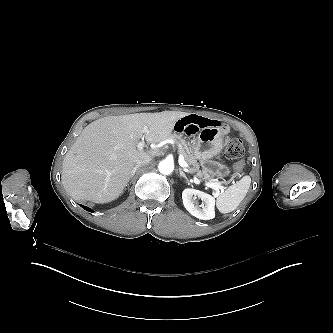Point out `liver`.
Here are the masks:
<instances>
[{
  "instance_id": "6515ba94",
  "label": "liver",
  "mask_w": 333,
  "mask_h": 333,
  "mask_svg": "<svg viewBox=\"0 0 333 333\" xmlns=\"http://www.w3.org/2000/svg\"><path fill=\"white\" fill-rule=\"evenodd\" d=\"M186 112L164 111L108 116L84 128L63 160L62 184L76 201L109 203L125 190L136 162L155 158L163 150L137 149L142 137L156 144L172 135ZM148 134H144V128Z\"/></svg>"
}]
</instances>
